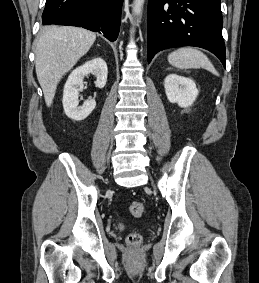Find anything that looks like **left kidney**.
I'll list each match as a JSON object with an SVG mask.
<instances>
[{"label": "left kidney", "instance_id": "obj_1", "mask_svg": "<svg viewBox=\"0 0 259 283\" xmlns=\"http://www.w3.org/2000/svg\"><path fill=\"white\" fill-rule=\"evenodd\" d=\"M164 87L167 99L180 107L191 106L198 96L195 82L186 77L170 74L165 78Z\"/></svg>", "mask_w": 259, "mask_h": 283}]
</instances>
